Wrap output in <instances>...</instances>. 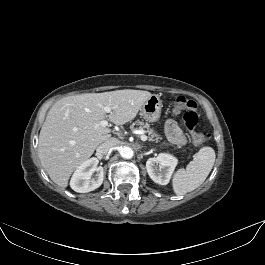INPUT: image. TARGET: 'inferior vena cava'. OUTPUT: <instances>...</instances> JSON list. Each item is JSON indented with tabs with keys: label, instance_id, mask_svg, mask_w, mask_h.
Masks as SVG:
<instances>
[{
	"label": "inferior vena cava",
	"instance_id": "obj_1",
	"mask_svg": "<svg viewBox=\"0 0 265 265\" xmlns=\"http://www.w3.org/2000/svg\"><path fill=\"white\" fill-rule=\"evenodd\" d=\"M117 143L118 141L115 138L106 140L98 146L97 154L100 156L108 154L113 149V147L117 145Z\"/></svg>",
	"mask_w": 265,
	"mask_h": 265
}]
</instances>
